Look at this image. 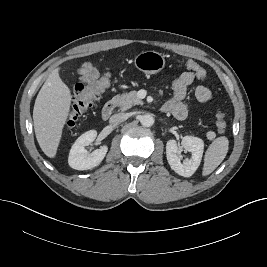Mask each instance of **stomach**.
Listing matches in <instances>:
<instances>
[{"instance_id": "0dacf381", "label": "stomach", "mask_w": 267, "mask_h": 267, "mask_svg": "<svg viewBox=\"0 0 267 267\" xmlns=\"http://www.w3.org/2000/svg\"><path fill=\"white\" fill-rule=\"evenodd\" d=\"M165 63L164 55L156 51H143L134 58L135 67L148 75L160 72Z\"/></svg>"}]
</instances>
